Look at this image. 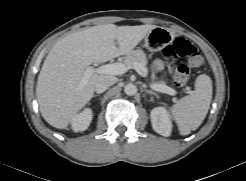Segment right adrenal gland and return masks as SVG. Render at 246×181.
<instances>
[{"label": "right adrenal gland", "instance_id": "1", "mask_svg": "<svg viewBox=\"0 0 246 181\" xmlns=\"http://www.w3.org/2000/svg\"><path fill=\"white\" fill-rule=\"evenodd\" d=\"M98 96H99V94L93 95V97H98Z\"/></svg>", "mask_w": 246, "mask_h": 181}]
</instances>
